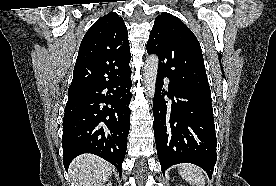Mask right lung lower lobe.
I'll list each match as a JSON object with an SVG mask.
<instances>
[{
  "label": "right lung lower lobe",
  "mask_w": 276,
  "mask_h": 186,
  "mask_svg": "<svg viewBox=\"0 0 276 186\" xmlns=\"http://www.w3.org/2000/svg\"><path fill=\"white\" fill-rule=\"evenodd\" d=\"M130 76L100 87L69 91L73 95L65 107L62 137L66 170L78 155L92 153L112 163L122 175L130 127Z\"/></svg>",
  "instance_id": "1"
}]
</instances>
